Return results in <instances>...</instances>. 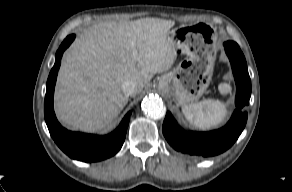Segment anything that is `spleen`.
Listing matches in <instances>:
<instances>
[{"instance_id":"1","label":"spleen","mask_w":292,"mask_h":192,"mask_svg":"<svg viewBox=\"0 0 292 192\" xmlns=\"http://www.w3.org/2000/svg\"><path fill=\"white\" fill-rule=\"evenodd\" d=\"M221 94L231 91V86L221 83L218 87ZM182 113L186 120L195 128L205 129L220 124L226 114L225 104L219 100L208 99L197 103L185 104Z\"/></svg>"}]
</instances>
